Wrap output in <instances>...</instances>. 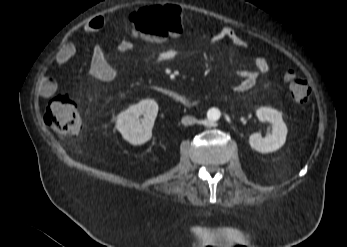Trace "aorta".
<instances>
[{"label":"aorta","mask_w":347,"mask_h":247,"mask_svg":"<svg viewBox=\"0 0 347 247\" xmlns=\"http://www.w3.org/2000/svg\"><path fill=\"white\" fill-rule=\"evenodd\" d=\"M220 118V111L216 108H211L207 112V119L209 122H216Z\"/></svg>","instance_id":"1"}]
</instances>
